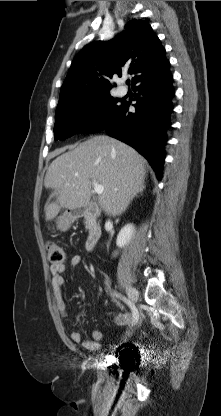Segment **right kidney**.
I'll list each match as a JSON object with an SVG mask.
<instances>
[{
  "label": "right kidney",
  "mask_w": 221,
  "mask_h": 416,
  "mask_svg": "<svg viewBox=\"0 0 221 416\" xmlns=\"http://www.w3.org/2000/svg\"><path fill=\"white\" fill-rule=\"evenodd\" d=\"M134 226L133 224H127L125 225L119 232L116 240V245L119 248H123L125 245H127L131 238L134 235Z\"/></svg>",
  "instance_id": "1"
}]
</instances>
